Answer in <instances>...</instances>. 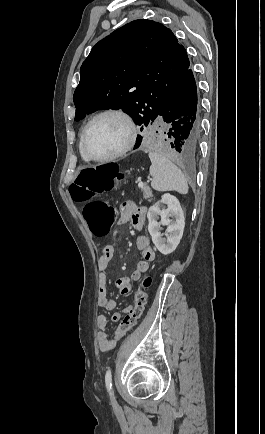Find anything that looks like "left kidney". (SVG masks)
Instances as JSON below:
<instances>
[{
    "mask_svg": "<svg viewBox=\"0 0 265 434\" xmlns=\"http://www.w3.org/2000/svg\"><path fill=\"white\" fill-rule=\"evenodd\" d=\"M160 204H166V210H161ZM158 216H160L161 222H157ZM147 218L149 222L148 232L157 250L164 256L172 254L180 244L185 226L184 214L179 200L171 194H164L159 202L149 208ZM169 218H174V220H169ZM160 226H167L166 234H164L166 238H161L163 234L159 232Z\"/></svg>",
    "mask_w": 265,
    "mask_h": 434,
    "instance_id": "obj_1",
    "label": "left kidney"
}]
</instances>
